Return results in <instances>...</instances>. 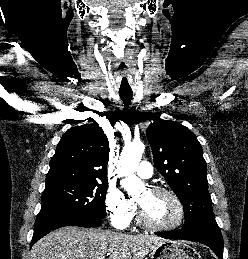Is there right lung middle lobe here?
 <instances>
[{"instance_id": "right-lung-middle-lobe-1", "label": "right lung middle lobe", "mask_w": 248, "mask_h": 259, "mask_svg": "<svg viewBox=\"0 0 248 259\" xmlns=\"http://www.w3.org/2000/svg\"><path fill=\"white\" fill-rule=\"evenodd\" d=\"M107 183L102 181H64L48 183L42 193L43 213H62L87 221L106 217Z\"/></svg>"}]
</instances>
